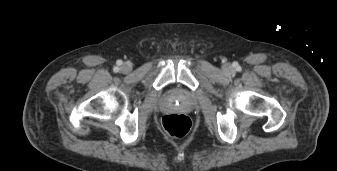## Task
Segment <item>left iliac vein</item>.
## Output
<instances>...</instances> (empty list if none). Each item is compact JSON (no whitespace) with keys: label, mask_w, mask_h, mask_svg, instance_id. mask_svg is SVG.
I'll return each instance as SVG.
<instances>
[{"label":"left iliac vein","mask_w":337,"mask_h":171,"mask_svg":"<svg viewBox=\"0 0 337 171\" xmlns=\"http://www.w3.org/2000/svg\"><path fill=\"white\" fill-rule=\"evenodd\" d=\"M229 69H230V67H228V66L225 67V70H229Z\"/></svg>","instance_id":"left-iliac-vein-1"}]
</instances>
